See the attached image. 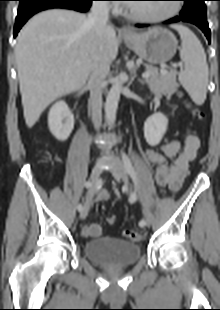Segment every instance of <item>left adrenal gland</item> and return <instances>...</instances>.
<instances>
[{
	"mask_svg": "<svg viewBox=\"0 0 220 310\" xmlns=\"http://www.w3.org/2000/svg\"><path fill=\"white\" fill-rule=\"evenodd\" d=\"M139 82H140L142 85L145 84V82H144L143 80H139Z\"/></svg>",
	"mask_w": 220,
	"mask_h": 310,
	"instance_id": "1",
	"label": "left adrenal gland"
}]
</instances>
